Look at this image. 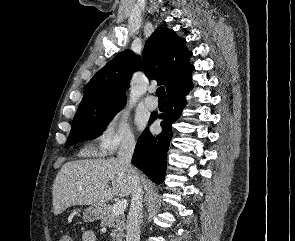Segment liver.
Listing matches in <instances>:
<instances>
[{
  "instance_id": "liver-1",
  "label": "liver",
  "mask_w": 295,
  "mask_h": 241,
  "mask_svg": "<svg viewBox=\"0 0 295 241\" xmlns=\"http://www.w3.org/2000/svg\"><path fill=\"white\" fill-rule=\"evenodd\" d=\"M132 188L127 169L116 158L66 162L53 183L54 214L74 205H104L114 196H129Z\"/></svg>"
}]
</instances>
